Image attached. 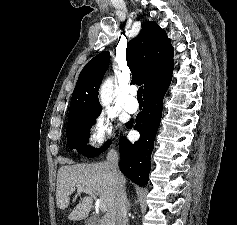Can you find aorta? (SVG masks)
Wrapping results in <instances>:
<instances>
[{"instance_id": "1", "label": "aorta", "mask_w": 237, "mask_h": 225, "mask_svg": "<svg viewBox=\"0 0 237 225\" xmlns=\"http://www.w3.org/2000/svg\"><path fill=\"white\" fill-rule=\"evenodd\" d=\"M112 80L107 79L100 89V101L103 106L110 103L112 99Z\"/></svg>"}]
</instances>
